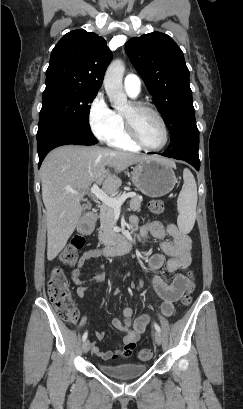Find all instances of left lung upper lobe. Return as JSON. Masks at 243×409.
I'll return each mask as SVG.
<instances>
[{
	"instance_id": "left-lung-upper-lobe-1",
	"label": "left lung upper lobe",
	"mask_w": 243,
	"mask_h": 409,
	"mask_svg": "<svg viewBox=\"0 0 243 409\" xmlns=\"http://www.w3.org/2000/svg\"><path fill=\"white\" fill-rule=\"evenodd\" d=\"M125 50L153 96L172 142L184 122L195 117L182 50L170 36L160 32L129 39Z\"/></svg>"
}]
</instances>
